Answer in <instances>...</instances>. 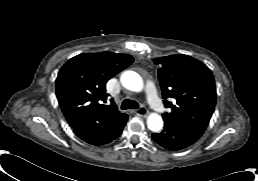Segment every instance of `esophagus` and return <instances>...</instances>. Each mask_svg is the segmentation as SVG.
<instances>
[{"mask_svg":"<svg viewBox=\"0 0 258 181\" xmlns=\"http://www.w3.org/2000/svg\"><path fill=\"white\" fill-rule=\"evenodd\" d=\"M135 114L138 116H146L148 114V110L145 107H141L135 110Z\"/></svg>","mask_w":258,"mask_h":181,"instance_id":"34e87169","label":"esophagus"}]
</instances>
